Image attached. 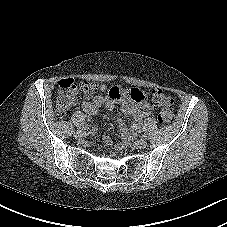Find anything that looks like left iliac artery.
I'll return each instance as SVG.
<instances>
[{
    "label": "left iliac artery",
    "mask_w": 227,
    "mask_h": 227,
    "mask_svg": "<svg viewBox=\"0 0 227 227\" xmlns=\"http://www.w3.org/2000/svg\"><path fill=\"white\" fill-rule=\"evenodd\" d=\"M142 138L148 139V134L144 133V134L142 135Z\"/></svg>",
    "instance_id": "44dca946"
}]
</instances>
